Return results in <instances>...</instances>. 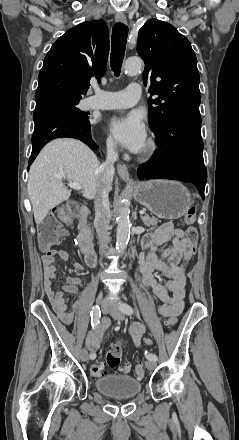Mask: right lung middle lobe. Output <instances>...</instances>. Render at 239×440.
Instances as JSON below:
<instances>
[{
  "instance_id": "right-lung-middle-lobe-1",
  "label": "right lung middle lobe",
  "mask_w": 239,
  "mask_h": 440,
  "mask_svg": "<svg viewBox=\"0 0 239 440\" xmlns=\"http://www.w3.org/2000/svg\"><path fill=\"white\" fill-rule=\"evenodd\" d=\"M81 97H67V96H56L51 97L39 102H36V107L45 105V104H54L58 106H62L67 109L72 115L80 120L89 119L88 113L80 111L76 108V105L79 103Z\"/></svg>"
}]
</instances>
